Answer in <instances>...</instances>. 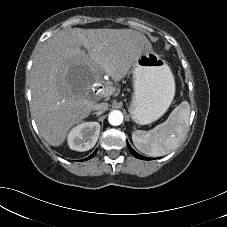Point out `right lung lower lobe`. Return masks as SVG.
<instances>
[{
	"label": "right lung lower lobe",
	"mask_w": 227,
	"mask_h": 227,
	"mask_svg": "<svg viewBox=\"0 0 227 227\" xmlns=\"http://www.w3.org/2000/svg\"><path fill=\"white\" fill-rule=\"evenodd\" d=\"M95 152L92 155H90L88 158L84 159V160H88V159L92 158L94 156Z\"/></svg>",
	"instance_id": "right-lung-lower-lobe-1"
}]
</instances>
